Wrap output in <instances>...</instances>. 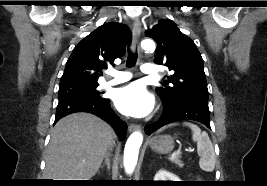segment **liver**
<instances>
[{
  "label": "liver",
  "mask_w": 267,
  "mask_h": 186,
  "mask_svg": "<svg viewBox=\"0 0 267 186\" xmlns=\"http://www.w3.org/2000/svg\"><path fill=\"white\" fill-rule=\"evenodd\" d=\"M113 137L112 128L92 114L62 118L51 131L44 177L89 180L97 173Z\"/></svg>",
  "instance_id": "6515ba94"
}]
</instances>
